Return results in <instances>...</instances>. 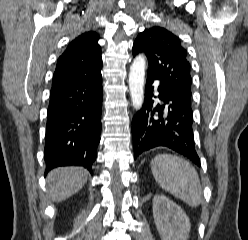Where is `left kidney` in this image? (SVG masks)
<instances>
[{"instance_id":"5707ae66","label":"left kidney","mask_w":248,"mask_h":240,"mask_svg":"<svg viewBox=\"0 0 248 240\" xmlns=\"http://www.w3.org/2000/svg\"><path fill=\"white\" fill-rule=\"evenodd\" d=\"M153 217L162 240H187L191 229L186 213L164 195L153 197Z\"/></svg>"}]
</instances>
